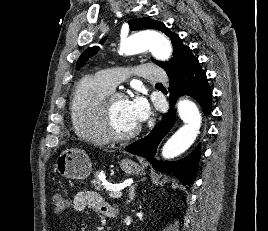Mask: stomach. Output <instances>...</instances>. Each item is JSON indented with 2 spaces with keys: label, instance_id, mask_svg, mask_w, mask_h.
<instances>
[{
  "label": "stomach",
  "instance_id": "stomach-1",
  "mask_svg": "<svg viewBox=\"0 0 268 231\" xmlns=\"http://www.w3.org/2000/svg\"><path fill=\"white\" fill-rule=\"evenodd\" d=\"M120 168L129 175L141 174L144 168L132 160L120 161ZM58 173L68 179L84 180L92 171V163L84 150L71 148L64 150L56 160Z\"/></svg>",
  "mask_w": 268,
  "mask_h": 231
}]
</instances>
